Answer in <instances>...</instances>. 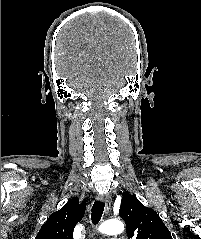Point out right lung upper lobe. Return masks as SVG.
<instances>
[{"mask_svg": "<svg viewBox=\"0 0 201 239\" xmlns=\"http://www.w3.org/2000/svg\"><path fill=\"white\" fill-rule=\"evenodd\" d=\"M85 213V204L79 199H70L60 210L49 216L35 239H73L75 225Z\"/></svg>", "mask_w": 201, "mask_h": 239, "instance_id": "1", "label": "right lung upper lobe"}]
</instances>
